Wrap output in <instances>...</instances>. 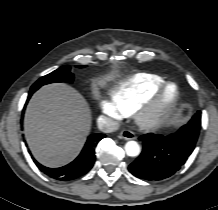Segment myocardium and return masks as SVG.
<instances>
[{"mask_svg": "<svg viewBox=\"0 0 218 210\" xmlns=\"http://www.w3.org/2000/svg\"><path fill=\"white\" fill-rule=\"evenodd\" d=\"M175 87L174 98L157 113L161 100L168 87ZM181 100V90L175 82H164L144 103L134 111L137 126L144 131H154L166 125L174 116Z\"/></svg>", "mask_w": 218, "mask_h": 210, "instance_id": "myocardium-1", "label": "myocardium"}]
</instances>
